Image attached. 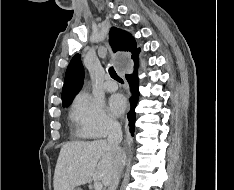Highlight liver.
<instances>
[{
    "label": "liver",
    "mask_w": 234,
    "mask_h": 190,
    "mask_svg": "<svg viewBox=\"0 0 234 190\" xmlns=\"http://www.w3.org/2000/svg\"><path fill=\"white\" fill-rule=\"evenodd\" d=\"M114 165L113 154L105 140L68 142L59 153L54 172V190H73L91 179L101 180L108 186Z\"/></svg>",
    "instance_id": "obj_1"
}]
</instances>
